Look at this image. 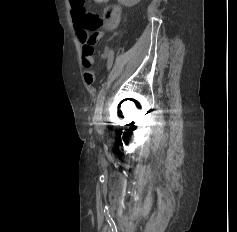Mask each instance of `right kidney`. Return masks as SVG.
Masks as SVG:
<instances>
[{"label":"right kidney","mask_w":237,"mask_h":232,"mask_svg":"<svg viewBox=\"0 0 237 232\" xmlns=\"http://www.w3.org/2000/svg\"><path fill=\"white\" fill-rule=\"evenodd\" d=\"M122 5L132 7L136 5L140 0H118Z\"/></svg>","instance_id":"ca27d5eb"}]
</instances>
